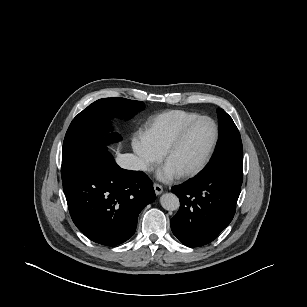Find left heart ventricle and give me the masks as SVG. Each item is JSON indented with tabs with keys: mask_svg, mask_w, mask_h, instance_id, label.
Returning <instances> with one entry per match:
<instances>
[{
	"mask_svg": "<svg viewBox=\"0 0 307 307\" xmlns=\"http://www.w3.org/2000/svg\"><path fill=\"white\" fill-rule=\"evenodd\" d=\"M214 135V129L208 121L196 124L185 136L181 144L170 155L166 165L178 174L196 167L205 156Z\"/></svg>",
	"mask_w": 307,
	"mask_h": 307,
	"instance_id": "b2bd125f",
	"label": "left heart ventricle"
}]
</instances>
